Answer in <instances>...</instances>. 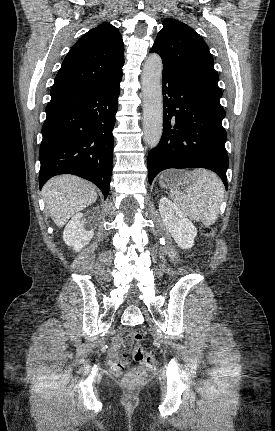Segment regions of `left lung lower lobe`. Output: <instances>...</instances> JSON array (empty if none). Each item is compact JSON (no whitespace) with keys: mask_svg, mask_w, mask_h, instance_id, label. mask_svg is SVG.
Masks as SVG:
<instances>
[{"mask_svg":"<svg viewBox=\"0 0 275 431\" xmlns=\"http://www.w3.org/2000/svg\"><path fill=\"white\" fill-rule=\"evenodd\" d=\"M163 136L147 158L148 180L168 168H206L228 188L223 108L199 96L179 76L163 68Z\"/></svg>","mask_w":275,"mask_h":431,"instance_id":"0a47b994","label":"left lung lower lobe"}]
</instances>
